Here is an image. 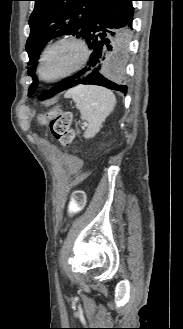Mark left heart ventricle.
<instances>
[{
    "label": "left heart ventricle",
    "mask_w": 183,
    "mask_h": 329,
    "mask_svg": "<svg viewBox=\"0 0 183 329\" xmlns=\"http://www.w3.org/2000/svg\"><path fill=\"white\" fill-rule=\"evenodd\" d=\"M81 59L82 50L76 43H61L46 54L43 75L46 78L57 77L77 66Z\"/></svg>",
    "instance_id": "b2bd125f"
}]
</instances>
